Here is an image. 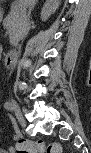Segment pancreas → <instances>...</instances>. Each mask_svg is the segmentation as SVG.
Listing matches in <instances>:
<instances>
[{
	"mask_svg": "<svg viewBox=\"0 0 91 153\" xmlns=\"http://www.w3.org/2000/svg\"><path fill=\"white\" fill-rule=\"evenodd\" d=\"M4 27L10 37V43L16 45L22 32V17L19 12L12 9L3 21Z\"/></svg>",
	"mask_w": 91,
	"mask_h": 153,
	"instance_id": "1",
	"label": "pancreas"
}]
</instances>
